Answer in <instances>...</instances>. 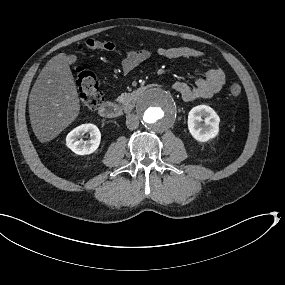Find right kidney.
<instances>
[{"label": "right kidney", "mask_w": 285, "mask_h": 285, "mask_svg": "<svg viewBox=\"0 0 285 285\" xmlns=\"http://www.w3.org/2000/svg\"><path fill=\"white\" fill-rule=\"evenodd\" d=\"M90 133L91 140L78 141L80 136ZM101 142V133L96 125L82 124L73 129L66 138V146L77 155H90L97 151Z\"/></svg>", "instance_id": "right-kidney-1"}]
</instances>
